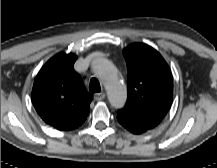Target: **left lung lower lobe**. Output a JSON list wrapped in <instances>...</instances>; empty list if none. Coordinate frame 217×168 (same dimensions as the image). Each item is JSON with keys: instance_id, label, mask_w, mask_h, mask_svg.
<instances>
[{"instance_id": "0a47b994", "label": "left lung lower lobe", "mask_w": 217, "mask_h": 168, "mask_svg": "<svg viewBox=\"0 0 217 168\" xmlns=\"http://www.w3.org/2000/svg\"><path fill=\"white\" fill-rule=\"evenodd\" d=\"M121 125L134 134H141L136 129H133V128L129 127L128 125H125V124H121Z\"/></svg>"}]
</instances>
